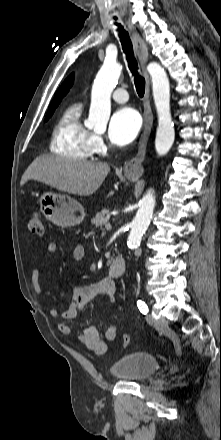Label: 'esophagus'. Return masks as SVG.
Instances as JSON below:
<instances>
[{
	"mask_svg": "<svg viewBox=\"0 0 221 440\" xmlns=\"http://www.w3.org/2000/svg\"><path fill=\"white\" fill-rule=\"evenodd\" d=\"M128 27L132 34V40L136 53L140 60L143 74L145 77V94H144V114H143V129L138 143V152L135 157L130 159L124 167V173L131 177H140L143 174L142 161L145 157L147 142L150 136L152 124H153V114L150 105V79L146 69V64L148 61L147 46L139 33L136 31L134 25L127 21Z\"/></svg>",
	"mask_w": 221,
	"mask_h": 440,
	"instance_id": "esophagus-1",
	"label": "esophagus"
}]
</instances>
